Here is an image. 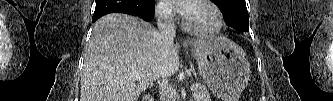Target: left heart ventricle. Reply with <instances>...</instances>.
Instances as JSON below:
<instances>
[{
    "instance_id": "1",
    "label": "left heart ventricle",
    "mask_w": 333,
    "mask_h": 101,
    "mask_svg": "<svg viewBox=\"0 0 333 101\" xmlns=\"http://www.w3.org/2000/svg\"><path fill=\"white\" fill-rule=\"evenodd\" d=\"M184 17L190 27L200 31L213 29L217 22L213 10L200 2H190Z\"/></svg>"
}]
</instances>
